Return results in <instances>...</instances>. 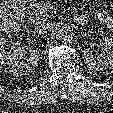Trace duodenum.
<instances>
[{
	"mask_svg": "<svg viewBox=\"0 0 113 113\" xmlns=\"http://www.w3.org/2000/svg\"><path fill=\"white\" fill-rule=\"evenodd\" d=\"M76 21L80 24H84L86 22V18L83 15H78L76 17Z\"/></svg>",
	"mask_w": 113,
	"mask_h": 113,
	"instance_id": "410a0bca",
	"label": "duodenum"
}]
</instances>
